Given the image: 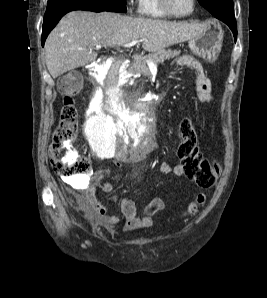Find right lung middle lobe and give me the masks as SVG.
<instances>
[{
    "label": "right lung middle lobe",
    "instance_id": "obj_1",
    "mask_svg": "<svg viewBox=\"0 0 267 298\" xmlns=\"http://www.w3.org/2000/svg\"><path fill=\"white\" fill-rule=\"evenodd\" d=\"M74 4H88L112 12L127 11L125 0H48L44 19H48L61 9Z\"/></svg>",
    "mask_w": 267,
    "mask_h": 298
}]
</instances>
